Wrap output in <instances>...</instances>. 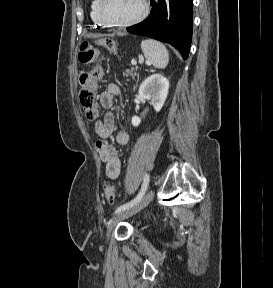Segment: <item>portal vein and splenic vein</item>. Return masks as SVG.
Segmentation results:
<instances>
[{"mask_svg":"<svg viewBox=\"0 0 273 288\" xmlns=\"http://www.w3.org/2000/svg\"><path fill=\"white\" fill-rule=\"evenodd\" d=\"M131 63H132V65H136L137 64V62L135 60H132Z\"/></svg>","mask_w":273,"mask_h":288,"instance_id":"18ae733b","label":"portal vein and splenic vein"}]
</instances>
